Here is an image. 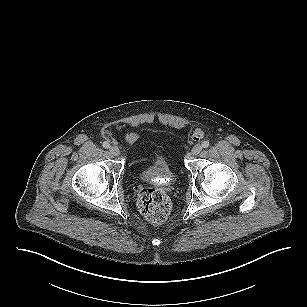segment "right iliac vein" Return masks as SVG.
I'll list each match as a JSON object with an SVG mask.
<instances>
[{
  "mask_svg": "<svg viewBox=\"0 0 307 307\" xmlns=\"http://www.w3.org/2000/svg\"><path fill=\"white\" fill-rule=\"evenodd\" d=\"M109 151L114 156H119V154H120V151H119L118 147H116V146H111L109 148Z\"/></svg>",
  "mask_w": 307,
  "mask_h": 307,
  "instance_id": "1",
  "label": "right iliac vein"
}]
</instances>
